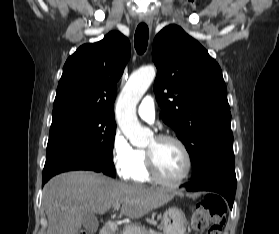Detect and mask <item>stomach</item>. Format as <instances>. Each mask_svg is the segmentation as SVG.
Segmentation results:
<instances>
[{
  "instance_id": "obj_1",
  "label": "stomach",
  "mask_w": 279,
  "mask_h": 234,
  "mask_svg": "<svg viewBox=\"0 0 279 234\" xmlns=\"http://www.w3.org/2000/svg\"><path fill=\"white\" fill-rule=\"evenodd\" d=\"M161 224L163 234H185L187 219L181 209L172 207L164 212Z\"/></svg>"
}]
</instances>
